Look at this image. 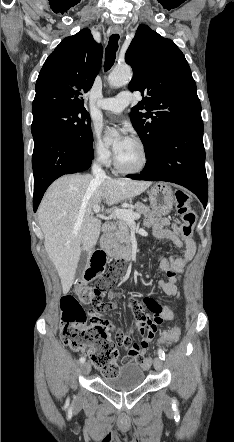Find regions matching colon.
Segmentation results:
<instances>
[{
	"mask_svg": "<svg viewBox=\"0 0 234 442\" xmlns=\"http://www.w3.org/2000/svg\"><path fill=\"white\" fill-rule=\"evenodd\" d=\"M175 198L177 212L182 220L181 235L187 238L191 235L196 220L190 206L191 197L187 192L178 190ZM106 263L105 254L96 252L83 278L75 287V296L66 297L61 301L60 334L67 346L85 352L92 364L100 369L104 376L112 377L118 372V354L111 335L109 331H95L87 325L89 314H103L102 308L108 290L122 277L127 267V262L124 261H113L108 267ZM84 304H93L94 308L87 314L83 309ZM129 306L134 315L161 314L162 311V306L149 297L129 299ZM179 335L180 329L173 327L162 337V342L171 344ZM128 336L130 337L129 334ZM151 364V359H144L142 370H150Z\"/></svg>",
	"mask_w": 234,
	"mask_h": 442,
	"instance_id": "colon-1",
	"label": "colon"
}]
</instances>
